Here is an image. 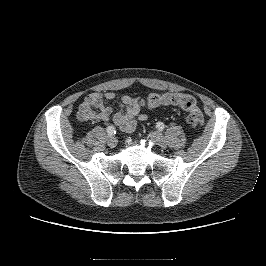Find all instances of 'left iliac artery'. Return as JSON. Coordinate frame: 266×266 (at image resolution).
Segmentation results:
<instances>
[{"label": "left iliac artery", "mask_w": 266, "mask_h": 266, "mask_svg": "<svg viewBox=\"0 0 266 266\" xmlns=\"http://www.w3.org/2000/svg\"><path fill=\"white\" fill-rule=\"evenodd\" d=\"M156 127H157L160 131H162V130L165 128V125H164L162 122H157V123H156Z\"/></svg>", "instance_id": "44dca946"}]
</instances>
